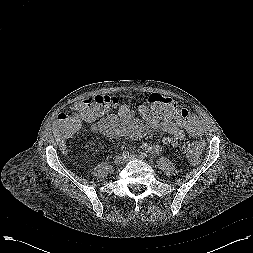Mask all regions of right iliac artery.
Here are the masks:
<instances>
[{"label":"right iliac artery","instance_id":"82829eb1","mask_svg":"<svg viewBox=\"0 0 253 253\" xmlns=\"http://www.w3.org/2000/svg\"><path fill=\"white\" fill-rule=\"evenodd\" d=\"M129 154H130L129 151L125 150V151H123L122 156H123L124 158H126V157L129 156Z\"/></svg>","mask_w":253,"mask_h":253}]
</instances>
